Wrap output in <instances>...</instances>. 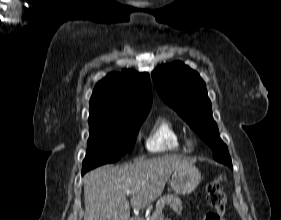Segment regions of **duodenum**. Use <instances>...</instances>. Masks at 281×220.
Here are the masks:
<instances>
[{"mask_svg": "<svg viewBox=\"0 0 281 220\" xmlns=\"http://www.w3.org/2000/svg\"><path fill=\"white\" fill-rule=\"evenodd\" d=\"M130 220H139V219L136 217H132Z\"/></svg>", "mask_w": 281, "mask_h": 220, "instance_id": "duodenum-1", "label": "duodenum"}]
</instances>
